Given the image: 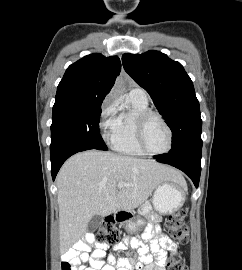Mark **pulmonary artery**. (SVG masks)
<instances>
[{
  "mask_svg": "<svg viewBox=\"0 0 242 270\" xmlns=\"http://www.w3.org/2000/svg\"><path fill=\"white\" fill-rule=\"evenodd\" d=\"M130 96L137 98L139 100L147 101V94L144 89L136 87L132 89L129 93Z\"/></svg>",
  "mask_w": 242,
  "mask_h": 270,
  "instance_id": "pulmonary-artery-1",
  "label": "pulmonary artery"
}]
</instances>
